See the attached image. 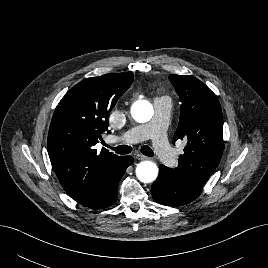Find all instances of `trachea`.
Listing matches in <instances>:
<instances>
[{
	"instance_id": "1",
	"label": "trachea",
	"mask_w": 268,
	"mask_h": 268,
	"mask_svg": "<svg viewBox=\"0 0 268 268\" xmlns=\"http://www.w3.org/2000/svg\"><path fill=\"white\" fill-rule=\"evenodd\" d=\"M106 147L111 148L112 150H114L116 153H118L120 155H126V154L130 153L131 149H132L128 145H121L118 147H111L109 145H106ZM141 153L144 154L145 156H149V157L154 156L152 149L146 145L141 147Z\"/></svg>"
}]
</instances>
